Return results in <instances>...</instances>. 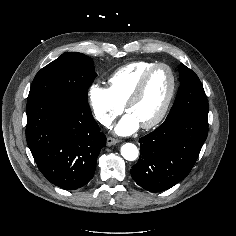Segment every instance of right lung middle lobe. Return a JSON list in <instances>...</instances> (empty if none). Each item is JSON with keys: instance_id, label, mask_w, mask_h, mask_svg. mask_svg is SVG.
Here are the masks:
<instances>
[{"instance_id": "right-lung-middle-lobe-1", "label": "right lung middle lobe", "mask_w": 236, "mask_h": 236, "mask_svg": "<svg viewBox=\"0 0 236 236\" xmlns=\"http://www.w3.org/2000/svg\"><path fill=\"white\" fill-rule=\"evenodd\" d=\"M96 77L89 57L76 52L65 53L37 73L27 101L53 98L88 104V88Z\"/></svg>"}]
</instances>
